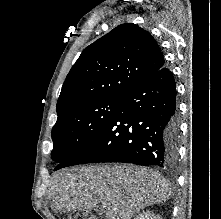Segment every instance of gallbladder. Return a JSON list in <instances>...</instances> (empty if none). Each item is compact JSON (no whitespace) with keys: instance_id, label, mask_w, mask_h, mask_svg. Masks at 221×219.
<instances>
[{"instance_id":"obj_1","label":"gallbladder","mask_w":221,"mask_h":219,"mask_svg":"<svg viewBox=\"0 0 221 219\" xmlns=\"http://www.w3.org/2000/svg\"><path fill=\"white\" fill-rule=\"evenodd\" d=\"M96 212H97L98 214H102V213H103V209H102V208H97V209H96Z\"/></svg>"}]
</instances>
